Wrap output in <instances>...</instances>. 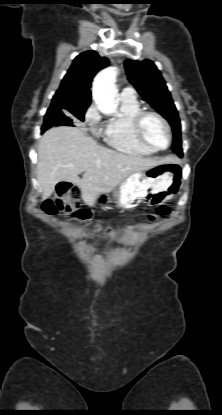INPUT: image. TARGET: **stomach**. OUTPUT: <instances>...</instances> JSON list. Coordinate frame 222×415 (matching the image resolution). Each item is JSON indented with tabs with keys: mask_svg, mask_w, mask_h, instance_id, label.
Masks as SVG:
<instances>
[{
	"mask_svg": "<svg viewBox=\"0 0 222 415\" xmlns=\"http://www.w3.org/2000/svg\"><path fill=\"white\" fill-rule=\"evenodd\" d=\"M182 172L183 167L178 161L159 164L128 176L114 188L111 199L106 191L99 192L96 201L115 203L124 210H133L142 201L149 205L164 204L181 188Z\"/></svg>",
	"mask_w": 222,
	"mask_h": 415,
	"instance_id": "1",
	"label": "stomach"
}]
</instances>
